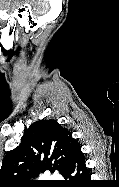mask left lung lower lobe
Masks as SVG:
<instances>
[{"instance_id":"1","label":"left lung lower lobe","mask_w":119,"mask_h":187,"mask_svg":"<svg viewBox=\"0 0 119 187\" xmlns=\"http://www.w3.org/2000/svg\"><path fill=\"white\" fill-rule=\"evenodd\" d=\"M62 176L72 182H86L90 178L89 171L85 165V158L79 144L74 146L68 167Z\"/></svg>"}]
</instances>
